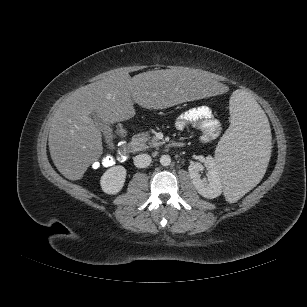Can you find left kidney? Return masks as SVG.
<instances>
[{"mask_svg": "<svg viewBox=\"0 0 307 307\" xmlns=\"http://www.w3.org/2000/svg\"><path fill=\"white\" fill-rule=\"evenodd\" d=\"M204 166L207 169V178H201L200 175V171L203 170ZM204 166L199 162L190 164L188 167L189 176L201 196L213 199L222 193L221 173L211 156L206 158Z\"/></svg>", "mask_w": 307, "mask_h": 307, "instance_id": "1", "label": "left kidney"}]
</instances>
